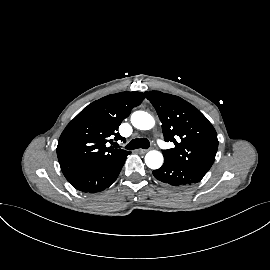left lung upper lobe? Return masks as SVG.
<instances>
[{
    "label": "left lung upper lobe",
    "mask_w": 270,
    "mask_h": 270,
    "mask_svg": "<svg viewBox=\"0 0 270 270\" xmlns=\"http://www.w3.org/2000/svg\"><path fill=\"white\" fill-rule=\"evenodd\" d=\"M147 99L162 122L165 141L175 145L163 151L164 159L205 175L218 149L217 134L212 124L197 108L178 96L150 91Z\"/></svg>",
    "instance_id": "5c2ea615"
}]
</instances>
